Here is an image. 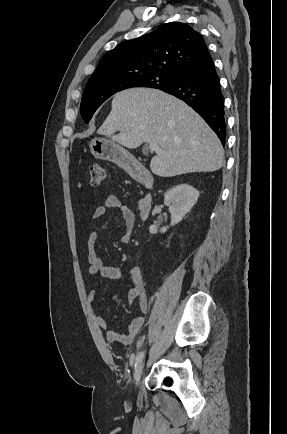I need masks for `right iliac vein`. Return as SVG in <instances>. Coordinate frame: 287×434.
Returning a JSON list of instances; mask_svg holds the SVG:
<instances>
[{
    "label": "right iliac vein",
    "mask_w": 287,
    "mask_h": 434,
    "mask_svg": "<svg viewBox=\"0 0 287 434\" xmlns=\"http://www.w3.org/2000/svg\"><path fill=\"white\" fill-rule=\"evenodd\" d=\"M143 368H144V362H140L139 365L137 366V368L135 369L134 372V384L137 386L139 384V381L141 379L142 373H143Z\"/></svg>",
    "instance_id": "right-iliac-vein-1"
}]
</instances>
